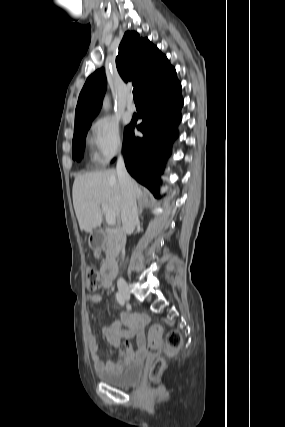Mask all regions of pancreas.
Here are the masks:
<instances>
[{
    "label": "pancreas",
    "instance_id": "pancreas-1",
    "mask_svg": "<svg viewBox=\"0 0 285 427\" xmlns=\"http://www.w3.org/2000/svg\"><path fill=\"white\" fill-rule=\"evenodd\" d=\"M121 243V232L117 228H107L105 232V244L107 246V255L109 256L113 249H118Z\"/></svg>",
    "mask_w": 285,
    "mask_h": 427
}]
</instances>
